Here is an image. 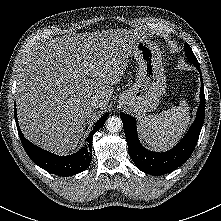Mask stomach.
Returning <instances> with one entry per match:
<instances>
[{"label": "stomach", "instance_id": "stomach-1", "mask_svg": "<svg viewBox=\"0 0 221 221\" xmlns=\"http://www.w3.org/2000/svg\"><path fill=\"white\" fill-rule=\"evenodd\" d=\"M159 46L148 39L139 40L133 50L138 73L133 86L123 91L118 102L136 115L155 110L165 93L166 77Z\"/></svg>", "mask_w": 221, "mask_h": 221}]
</instances>
